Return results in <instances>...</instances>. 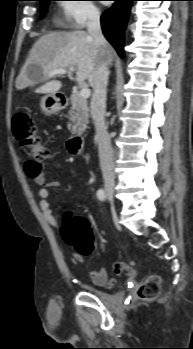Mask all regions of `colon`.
<instances>
[{"label": "colon", "mask_w": 193, "mask_h": 349, "mask_svg": "<svg viewBox=\"0 0 193 349\" xmlns=\"http://www.w3.org/2000/svg\"><path fill=\"white\" fill-rule=\"evenodd\" d=\"M13 131L23 149L32 157L31 162L41 165L51 150L49 145L38 135L34 120L27 113H18L13 118ZM63 238L81 254L88 255L94 250V236L89 223L81 217L68 218L63 227ZM160 293V279L152 276L138 288L141 299L152 300Z\"/></svg>", "instance_id": "5ec220e1"}]
</instances>
